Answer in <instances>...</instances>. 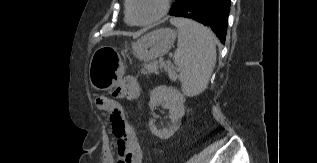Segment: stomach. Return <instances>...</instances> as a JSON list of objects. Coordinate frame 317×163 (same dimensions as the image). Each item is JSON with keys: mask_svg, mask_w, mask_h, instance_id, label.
Instances as JSON below:
<instances>
[{"mask_svg": "<svg viewBox=\"0 0 317 163\" xmlns=\"http://www.w3.org/2000/svg\"><path fill=\"white\" fill-rule=\"evenodd\" d=\"M176 34L169 28L152 31L133 45L134 55L140 60H154L165 55L173 46ZM102 46L92 55L89 65V80L91 85L98 90H109L117 79L123 75V63L119 56H108L115 51L113 48Z\"/></svg>", "mask_w": 317, "mask_h": 163, "instance_id": "obj_1", "label": "stomach"}]
</instances>
